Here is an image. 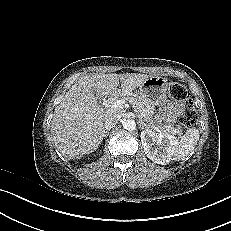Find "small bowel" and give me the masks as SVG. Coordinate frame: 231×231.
<instances>
[{"label": "small bowel", "mask_w": 231, "mask_h": 231, "mask_svg": "<svg viewBox=\"0 0 231 231\" xmlns=\"http://www.w3.org/2000/svg\"><path fill=\"white\" fill-rule=\"evenodd\" d=\"M179 109L180 108L177 106H173L171 104L167 105V107L165 108V112H164L165 118L169 121L174 120L179 112Z\"/></svg>", "instance_id": "c3829d8e"}]
</instances>
